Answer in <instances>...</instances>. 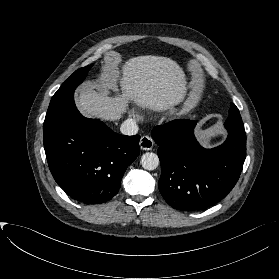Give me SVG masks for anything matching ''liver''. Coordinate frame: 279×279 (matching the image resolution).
Instances as JSON below:
<instances>
[{
    "label": "liver",
    "instance_id": "6515ba94",
    "mask_svg": "<svg viewBox=\"0 0 279 279\" xmlns=\"http://www.w3.org/2000/svg\"><path fill=\"white\" fill-rule=\"evenodd\" d=\"M186 80L183 68L167 57L145 55L124 62L108 59L97 90L84 86L76 103L84 116L105 121L120 119L130 102L163 112L182 101Z\"/></svg>",
    "mask_w": 279,
    "mask_h": 279
}]
</instances>
